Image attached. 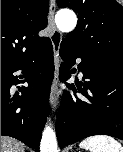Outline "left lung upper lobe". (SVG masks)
Instances as JSON below:
<instances>
[{"mask_svg":"<svg viewBox=\"0 0 123 152\" xmlns=\"http://www.w3.org/2000/svg\"><path fill=\"white\" fill-rule=\"evenodd\" d=\"M57 4L78 14L65 45L100 64L123 69V9L116 0H57Z\"/></svg>","mask_w":123,"mask_h":152,"instance_id":"5c2ea615","label":"left lung upper lobe"}]
</instances>
